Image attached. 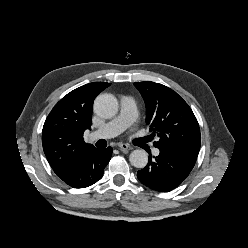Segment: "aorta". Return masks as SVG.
Returning a JSON list of instances; mask_svg holds the SVG:
<instances>
[{
	"instance_id": "762f6f07",
	"label": "aorta",
	"mask_w": 248,
	"mask_h": 248,
	"mask_svg": "<svg viewBox=\"0 0 248 248\" xmlns=\"http://www.w3.org/2000/svg\"><path fill=\"white\" fill-rule=\"evenodd\" d=\"M94 110L100 117L111 118L118 112V101L111 94H101L95 99ZM129 160L134 167L144 168L148 163V155L144 150H134Z\"/></svg>"
}]
</instances>
